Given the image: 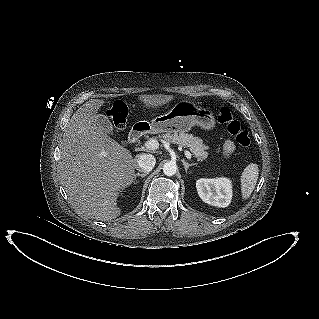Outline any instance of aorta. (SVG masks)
<instances>
[{"label":"aorta","mask_w":319,"mask_h":319,"mask_svg":"<svg viewBox=\"0 0 319 319\" xmlns=\"http://www.w3.org/2000/svg\"><path fill=\"white\" fill-rule=\"evenodd\" d=\"M163 172L165 175L167 176H172L174 174H176L177 172V165L176 163L174 162H166L164 165H163Z\"/></svg>","instance_id":"obj_1"}]
</instances>
